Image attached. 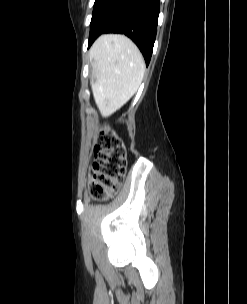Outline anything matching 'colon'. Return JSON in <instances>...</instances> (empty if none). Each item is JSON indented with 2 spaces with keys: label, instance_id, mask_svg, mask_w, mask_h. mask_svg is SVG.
<instances>
[{
  "label": "colon",
  "instance_id": "1",
  "mask_svg": "<svg viewBox=\"0 0 247 304\" xmlns=\"http://www.w3.org/2000/svg\"><path fill=\"white\" fill-rule=\"evenodd\" d=\"M126 171V149L119 136L107 129L95 144V161L89 170V190L96 200L110 199L120 188Z\"/></svg>",
  "mask_w": 247,
  "mask_h": 304
}]
</instances>
